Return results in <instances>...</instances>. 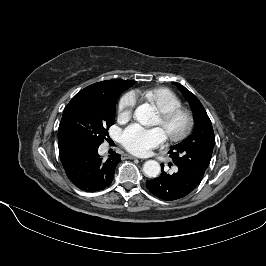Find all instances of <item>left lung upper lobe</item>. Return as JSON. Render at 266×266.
<instances>
[{
  "instance_id": "5c2ea615",
  "label": "left lung upper lobe",
  "mask_w": 266,
  "mask_h": 266,
  "mask_svg": "<svg viewBox=\"0 0 266 266\" xmlns=\"http://www.w3.org/2000/svg\"><path fill=\"white\" fill-rule=\"evenodd\" d=\"M175 84L181 89L192 108L195 127L187 139L171 147L169 154L176 166L201 181L212 157L215 145L214 131L198 98L181 84Z\"/></svg>"
}]
</instances>
